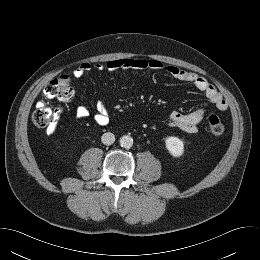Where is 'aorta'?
I'll use <instances>...</instances> for the list:
<instances>
[{
	"label": "aorta",
	"instance_id": "aorta-1",
	"mask_svg": "<svg viewBox=\"0 0 260 260\" xmlns=\"http://www.w3.org/2000/svg\"><path fill=\"white\" fill-rule=\"evenodd\" d=\"M120 146L123 147V148H131L132 145H133V138L129 135H123L120 140Z\"/></svg>",
	"mask_w": 260,
	"mask_h": 260
}]
</instances>
